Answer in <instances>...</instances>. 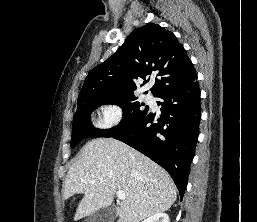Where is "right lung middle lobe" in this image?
<instances>
[{"instance_id":"dd1d6c3e","label":"right lung middle lobe","mask_w":257,"mask_h":222,"mask_svg":"<svg viewBox=\"0 0 257 222\" xmlns=\"http://www.w3.org/2000/svg\"><path fill=\"white\" fill-rule=\"evenodd\" d=\"M103 104H116L123 110L121 122L114 128L100 130L94 128L90 121V114L94 108ZM140 103L134 95L127 96H96L90 97L77 104V111L73 118L71 148L88 137H112L131 127L148 111V107Z\"/></svg>"}]
</instances>
